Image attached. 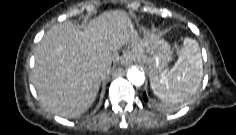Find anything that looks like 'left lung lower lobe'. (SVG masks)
I'll list each match as a JSON object with an SVG mask.
<instances>
[{
  "instance_id": "0a47b994",
  "label": "left lung lower lobe",
  "mask_w": 236,
  "mask_h": 135,
  "mask_svg": "<svg viewBox=\"0 0 236 135\" xmlns=\"http://www.w3.org/2000/svg\"><path fill=\"white\" fill-rule=\"evenodd\" d=\"M144 101H145V102H148V98H147V96H146L145 93H144Z\"/></svg>"
}]
</instances>
